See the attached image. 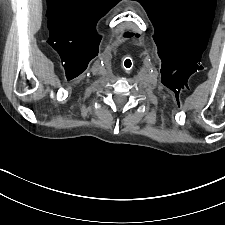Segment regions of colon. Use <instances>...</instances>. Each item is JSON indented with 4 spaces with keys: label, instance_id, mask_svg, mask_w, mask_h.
Wrapping results in <instances>:
<instances>
[{
    "label": "colon",
    "instance_id": "obj_1",
    "mask_svg": "<svg viewBox=\"0 0 225 225\" xmlns=\"http://www.w3.org/2000/svg\"><path fill=\"white\" fill-rule=\"evenodd\" d=\"M125 63H127V64H129L131 66V59H129V58L125 59L124 64Z\"/></svg>",
    "mask_w": 225,
    "mask_h": 225
}]
</instances>
